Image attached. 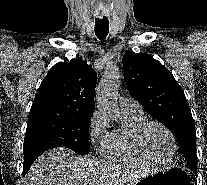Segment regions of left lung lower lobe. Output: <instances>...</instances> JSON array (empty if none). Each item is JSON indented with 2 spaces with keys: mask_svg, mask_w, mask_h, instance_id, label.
<instances>
[{
  "mask_svg": "<svg viewBox=\"0 0 207 185\" xmlns=\"http://www.w3.org/2000/svg\"><path fill=\"white\" fill-rule=\"evenodd\" d=\"M191 170L196 173L197 172V166L192 167Z\"/></svg>",
  "mask_w": 207,
  "mask_h": 185,
  "instance_id": "0a47b994",
  "label": "left lung lower lobe"
}]
</instances>
